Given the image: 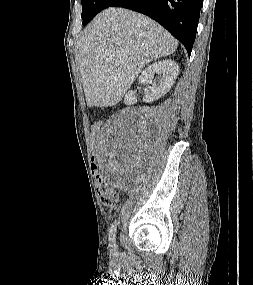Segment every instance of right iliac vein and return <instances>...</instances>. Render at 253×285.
Here are the masks:
<instances>
[{
  "label": "right iliac vein",
  "instance_id": "right-iliac-vein-1",
  "mask_svg": "<svg viewBox=\"0 0 253 285\" xmlns=\"http://www.w3.org/2000/svg\"><path fill=\"white\" fill-rule=\"evenodd\" d=\"M112 251L115 252L116 251V246L112 247Z\"/></svg>",
  "mask_w": 253,
  "mask_h": 285
}]
</instances>
